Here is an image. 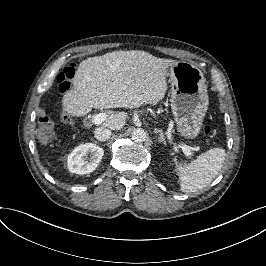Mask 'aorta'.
<instances>
[{
    "label": "aorta",
    "mask_w": 266,
    "mask_h": 266,
    "mask_svg": "<svg viewBox=\"0 0 266 266\" xmlns=\"http://www.w3.org/2000/svg\"><path fill=\"white\" fill-rule=\"evenodd\" d=\"M131 138L135 143H142L147 138V132L144 129H135L131 132Z\"/></svg>",
    "instance_id": "762f6f07"
}]
</instances>
